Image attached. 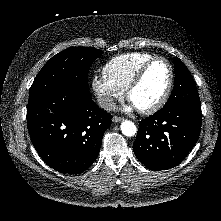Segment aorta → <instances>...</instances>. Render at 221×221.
Wrapping results in <instances>:
<instances>
[{"instance_id":"762f6f07","label":"aorta","mask_w":221,"mask_h":221,"mask_svg":"<svg viewBox=\"0 0 221 221\" xmlns=\"http://www.w3.org/2000/svg\"><path fill=\"white\" fill-rule=\"evenodd\" d=\"M120 129L127 137H132L136 134L137 128L132 121L125 120L121 123Z\"/></svg>"}]
</instances>
